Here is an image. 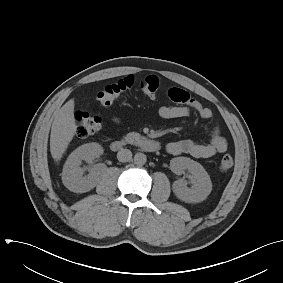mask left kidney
I'll use <instances>...</instances> for the list:
<instances>
[{"mask_svg":"<svg viewBox=\"0 0 283 283\" xmlns=\"http://www.w3.org/2000/svg\"><path fill=\"white\" fill-rule=\"evenodd\" d=\"M170 169L177 175L185 173V170L191 174V188L182 179L173 183V192L177 198L187 203H199L208 197L212 190V183L210 176L200 163L187 157H176L170 161Z\"/></svg>","mask_w":283,"mask_h":283,"instance_id":"5707ae66","label":"left kidney"}]
</instances>
